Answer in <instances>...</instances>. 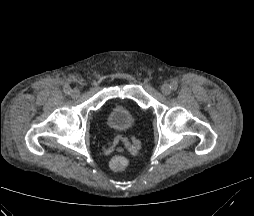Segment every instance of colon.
I'll use <instances>...</instances> for the list:
<instances>
[{
    "instance_id": "colon-1",
    "label": "colon",
    "mask_w": 254,
    "mask_h": 216,
    "mask_svg": "<svg viewBox=\"0 0 254 216\" xmlns=\"http://www.w3.org/2000/svg\"><path fill=\"white\" fill-rule=\"evenodd\" d=\"M126 165H127V161H126L125 157H123L121 155L114 156L109 162V166H110L111 170H113L115 172L123 171L125 169Z\"/></svg>"
}]
</instances>
